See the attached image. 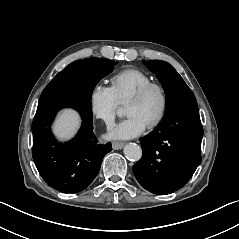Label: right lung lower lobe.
<instances>
[{
	"instance_id": "98d812e1",
	"label": "right lung lower lobe",
	"mask_w": 239,
	"mask_h": 239,
	"mask_svg": "<svg viewBox=\"0 0 239 239\" xmlns=\"http://www.w3.org/2000/svg\"><path fill=\"white\" fill-rule=\"evenodd\" d=\"M64 107L76 109L82 117L78 135L62 144L54 139L51 123ZM32 156L43 180L63 193L84 190L99 172L111 144H97L93 134L91 98L83 93H71L39 103L32 123Z\"/></svg>"
}]
</instances>
